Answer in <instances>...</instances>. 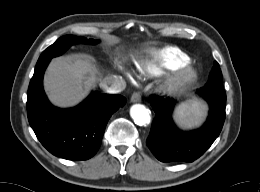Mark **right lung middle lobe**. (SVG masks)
I'll return each mask as SVG.
<instances>
[{"label":"right lung middle lobe","instance_id":"obj_1","mask_svg":"<svg viewBox=\"0 0 260 192\" xmlns=\"http://www.w3.org/2000/svg\"><path fill=\"white\" fill-rule=\"evenodd\" d=\"M98 42L99 41H95L93 39L88 40L84 37H76L73 35L62 36L54 44L43 51L38 59L37 65L45 61H50L51 58L63 54L71 45L75 43L96 44Z\"/></svg>","mask_w":260,"mask_h":192}]
</instances>
